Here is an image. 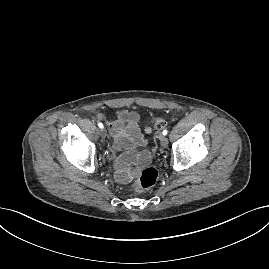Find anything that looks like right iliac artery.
I'll use <instances>...</instances> for the list:
<instances>
[{
  "label": "right iliac artery",
  "instance_id": "1",
  "mask_svg": "<svg viewBox=\"0 0 269 269\" xmlns=\"http://www.w3.org/2000/svg\"><path fill=\"white\" fill-rule=\"evenodd\" d=\"M98 126H99V128H101V129L104 127L102 123H98Z\"/></svg>",
  "mask_w": 269,
  "mask_h": 269
}]
</instances>
